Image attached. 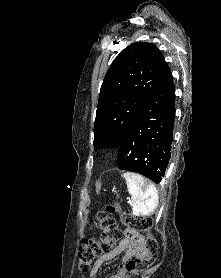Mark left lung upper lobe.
Masks as SVG:
<instances>
[{"instance_id": "left-lung-upper-lobe-1", "label": "left lung upper lobe", "mask_w": 221, "mask_h": 278, "mask_svg": "<svg viewBox=\"0 0 221 278\" xmlns=\"http://www.w3.org/2000/svg\"><path fill=\"white\" fill-rule=\"evenodd\" d=\"M167 63L158 48L135 42L115 58L100 90L94 148L119 147L153 94Z\"/></svg>"}]
</instances>
